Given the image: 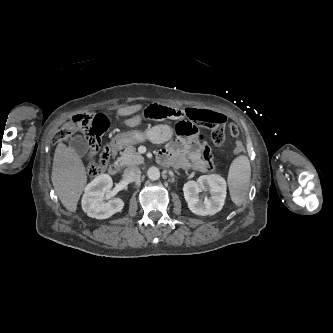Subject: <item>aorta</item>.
<instances>
[{
  "label": "aorta",
  "mask_w": 333,
  "mask_h": 333,
  "mask_svg": "<svg viewBox=\"0 0 333 333\" xmlns=\"http://www.w3.org/2000/svg\"><path fill=\"white\" fill-rule=\"evenodd\" d=\"M147 176L152 181L158 180L160 178V171L157 167H150L147 171Z\"/></svg>",
  "instance_id": "1"
}]
</instances>
